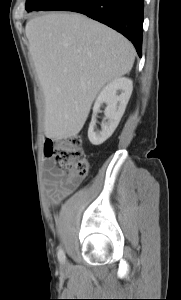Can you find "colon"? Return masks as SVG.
Returning a JSON list of instances; mask_svg holds the SVG:
<instances>
[{"label": "colon", "instance_id": "1", "mask_svg": "<svg viewBox=\"0 0 181 300\" xmlns=\"http://www.w3.org/2000/svg\"><path fill=\"white\" fill-rule=\"evenodd\" d=\"M46 156H52L57 164L66 170L72 178H83L88 171V161L84 156L82 143L77 138L48 140Z\"/></svg>", "mask_w": 181, "mask_h": 300}]
</instances>
